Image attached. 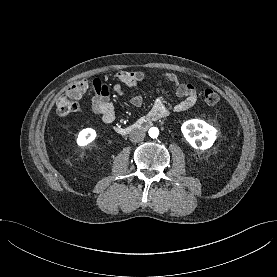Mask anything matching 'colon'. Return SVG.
<instances>
[{
	"label": "colon",
	"mask_w": 277,
	"mask_h": 277,
	"mask_svg": "<svg viewBox=\"0 0 277 277\" xmlns=\"http://www.w3.org/2000/svg\"><path fill=\"white\" fill-rule=\"evenodd\" d=\"M89 82L83 80L72 85L66 93L60 96L56 103V111L61 116H66L77 110V99L88 90ZM219 95L213 89L204 91V101L208 105H216L219 102Z\"/></svg>",
	"instance_id": "5ec220e1"
}]
</instances>
